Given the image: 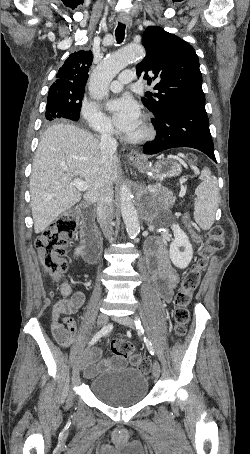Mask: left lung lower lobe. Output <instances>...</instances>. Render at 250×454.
<instances>
[{"mask_svg":"<svg viewBox=\"0 0 250 454\" xmlns=\"http://www.w3.org/2000/svg\"><path fill=\"white\" fill-rule=\"evenodd\" d=\"M157 135L143 146L145 154L175 147H191L216 162L205 105L177 107L152 120Z\"/></svg>","mask_w":250,"mask_h":454,"instance_id":"obj_1","label":"left lung lower lobe"}]
</instances>
